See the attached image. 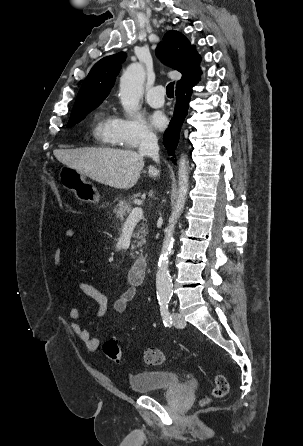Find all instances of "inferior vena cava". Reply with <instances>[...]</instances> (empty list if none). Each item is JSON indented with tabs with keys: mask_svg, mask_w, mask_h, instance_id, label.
I'll return each instance as SVG.
<instances>
[{
	"mask_svg": "<svg viewBox=\"0 0 303 446\" xmlns=\"http://www.w3.org/2000/svg\"><path fill=\"white\" fill-rule=\"evenodd\" d=\"M139 154L151 157L155 162H159V147L157 137L153 133H147L141 140Z\"/></svg>",
	"mask_w": 303,
	"mask_h": 446,
	"instance_id": "inferior-vena-cava-1",
	"label": "inferior vena cava"
}]
</instances>
